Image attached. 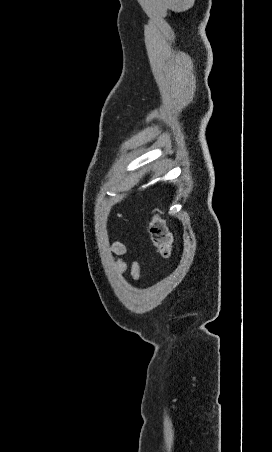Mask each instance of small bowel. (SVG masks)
I'll return each instance as SVG.
<instances>
[{
	"label": "small bowel",
	"instance_id": "1",
	"mask_svg": "<svg viewBox=\"0 0 272 452\" xmlns=\"http://www.w3.org/2000/svg\"><path fill=\"white\" fill-rule=\"evenodd\" d=\"M111 250L115 256L114 265H115L116 269L120 273H125L129 270L133 279L138 280L140 277L139 264L133 263L131 266H128L127 263L123 260V257L127 253V249H126L125 245L119 241H116L113 243Z\"/></svg>",
	"mask_w": 272,
	"mask_h": 452
}]
</instances>
